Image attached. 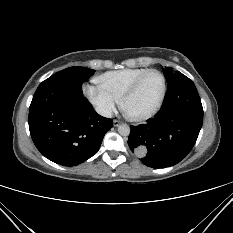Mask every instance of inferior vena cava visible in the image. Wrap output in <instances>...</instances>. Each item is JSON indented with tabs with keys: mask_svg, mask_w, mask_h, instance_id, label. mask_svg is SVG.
I'll use <instances>...</instances> for the list:
<instances>
[{
	"mask_svg": "<svg viewBox=\"0 0 233 233\" xmlns=\"http://www.w3.org/2000/svg\"><path fill=\"white\" fill-rule=\"evenodd\" d=\"M96 111L101 116H104V117H107V118H111L112 117V111L110 109H108V108L97 107Z\"/></svg>",
	"mask_w": 233,
	"mask_h": 233,
	"instance_id": "1",
	"label": "inferior vena cava"
}]
</instances>
